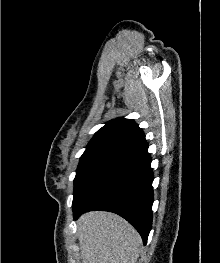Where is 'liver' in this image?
Instances as JSON below:
<instances>
[{"label": "liver", "instance_id": "liver-1", "mask_svg": "<svg viewBox=\"0 0 220 263\" xmlns=\"http://www.w3.org/2000/svg\"><path fill=\"white\" fill-rule=\"evenodd\" d=\"M77 228L82 263H136L142 239L117 214L85 213L78 219Z\"/></svg>", "mask_w": 220, "mask_h": 263}]
</instances>
